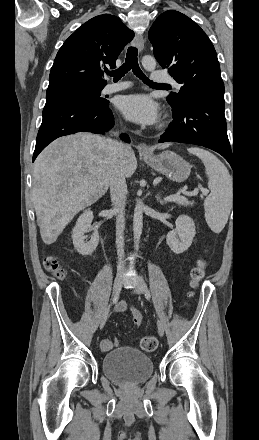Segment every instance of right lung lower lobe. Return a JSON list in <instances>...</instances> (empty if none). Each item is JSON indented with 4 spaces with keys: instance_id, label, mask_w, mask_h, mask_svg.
I'll return each instance as SVG.
<instances>
[{
    "instance_id": "right-lung-lower-lobe-1",
    "label": "right lung lower lobe",
    "mask_w": 259,
    "mask_h": 440,
    "mask_svg": "<svg viewBox=\"0 0 259 440\" xmlns=\"http://www.w3.org/2000/svg\"><path fill=\"white\" fill-rule=\"evenodd\" d=\"M108 106V101L99 102L87 97L46 100L33 161L49 143L58 137L77 132L104 134L110 130L114 125V117ZM121 138L130 142L126 134L121 135Z\"/></svg>"
}]
</instances>
